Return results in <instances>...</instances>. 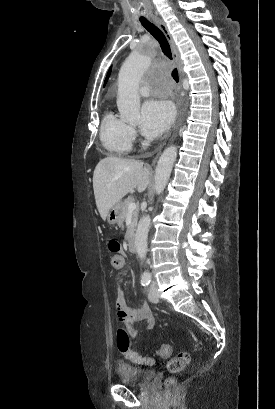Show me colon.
Segmentation results:
<instances>
[{
  "mask_svg": "<svg viewBox=\"0 0 275 409\" xmlns=\"http://www.w3.org/2000/svg\"><path fill=\"white\" fill-rule=\"evenodd\" d=\"M108 249L111 252H119L121 248V244L116 239H109L108 240ZM112 267L114 270H121L123 267L122 264V257L119 254H115L112 257ZM170 348L171 345L169 342H162L160 344V352L158 353L161 358H168L170 355ZM191 361V356L188 352H180L174 357H172L168 362V371L172 376L180 374L189 364Z\"/></svg>",
  "mask_w": 275,
  "mask_h": 409,
  "instance_id": "colon-1",
  "label": "colon"
}]
</instances>
